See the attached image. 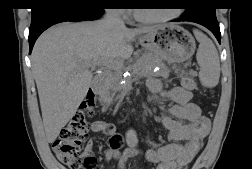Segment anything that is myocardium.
<instances>
[{
    "label": "myocardium",
    "mask_w": 252,
    "mask_h": 169,
    "mask_svg": "<svg viewBox=\"0 0 252 169\" xmlns=\"http://www.w3.org/2000/svg\"><path fill=\"white\" fill-rule=\"evenodd\" d=\"M179 14H180L179 10H175L174 12H172L170 14L149 18V17H143L138 14L137 10H133L134 18L137 21H139L141 23H145V24H152V23H160V22L169 21V20L177 18L179 16Z\"/></svg>",
    "instance_id": "1"
}]
</instances>
